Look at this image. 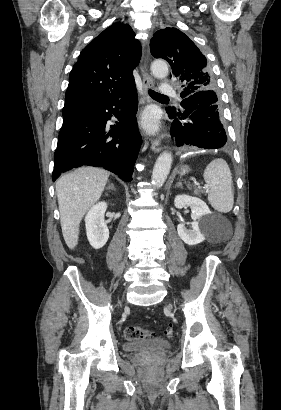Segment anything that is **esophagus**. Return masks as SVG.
Here are the masks:
<instances>
[{"instance_id":"1","label":"esophagus","mask_w":281,"mask_h":410,"mask_svg":"<svg viewBox=\"0 0 281 410\" xmlns=\"http://www.w3.org/2000/svg\"><path fill=\"white\" fill-rule=\"evenodd\" d=\"M141 73H142V81H143L144 99L146 103H150L151 100L148 95V90L153 87L154 82H153L152 77L148 74L146 59H144ZM151 144H152L151 148L153 152L158 153L161 151L162 145H161V141L159 138H154Z\"/></svg>"}]
</instances>
